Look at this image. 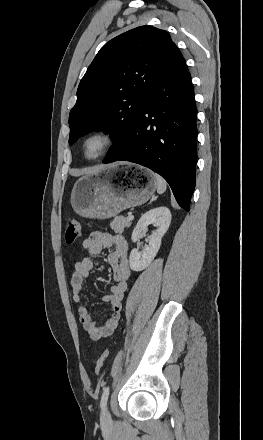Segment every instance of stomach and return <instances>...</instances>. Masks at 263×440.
I'll return each instance as SVG.
<instances>
[{
  "instance_id": "obj_1",
  "label": "stomach",
  "mask_w": 263,
  "mask_h": 440,
  "mask_svg": "<svg viewBox=\"0 0 263 440\" xmlns=\"http://www.w3.org/2000/svg\"><path fill=\"white\" fill-rule=\"evenodd\" d=\"M156 190L154 173L129 165L106 166L79 178L71 192L74 211L87 218L108 219L146 203Z\"/></svg>"
}]
</instances>
